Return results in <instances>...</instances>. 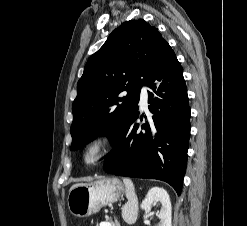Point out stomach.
Segmentation results:
<instances>
[{
    "label": "stomach",
    "mask_w": 247,
    "mask_h": 226,
    "mask_svg": "<svg viewBox=\"0 0 247 226\" xmlns=\"http://www.w3.org/2000/svg\"><path fill=\"white\" fill-rule=\"evenodd\" d=\"M124 193L122 183L116 178H101L90 183L74 185L68 195L70 212L77 217L97 213L103 206L117 201Z\"/></svg>",
    "instance_id": "1"
}]
</instances>
